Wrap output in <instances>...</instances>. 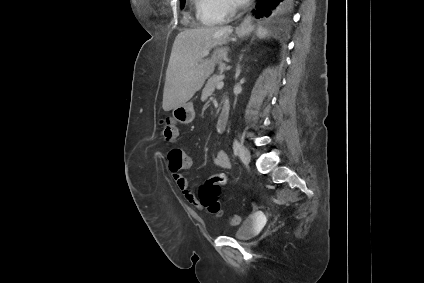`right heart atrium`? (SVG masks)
I'll return each instance as SVG.
<instances>
[{
	"instance_id": "obj_1",
	"label": "right heart atrium",
	"mask_w": 424,
	"mask_h": 283,
	"mask_svg": "<svg viewBox=\"0 0 424 283\" xmlns=\"http://www.w3.org/2000/svg\"><path fill=\"white\" fill-rule=\"evenodd\" d=\"M202 6L222 19L232 15L236 10V0H201Z\"/></svg>"
}]
</instances>
